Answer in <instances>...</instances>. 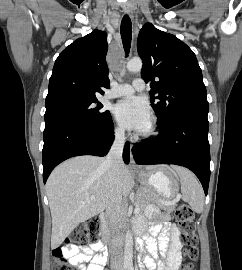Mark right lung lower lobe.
Masks as SVG:
<instances>
[{
    "mask_svg": "<svg viewBox=\"0 0 242 270\" xmlns=\"http://www.w3.org/2000/svg\"><path fill=\"white\" fill-rule=\"evenodd\" d=\"M113 122L109 115L102 122L91 121L81 115H62L45 121L42 150L43 180L62 161L78 155L105 156L113 141ZM130 145L125 143L123 159L130 160Z\"/></svg>",
    "mask_w": 242,
    "mask_h": 270,
    "instance_id": "right-lung-lower-lobe-1",
    "label": "right lung lower lobe"
}]
</instances>
